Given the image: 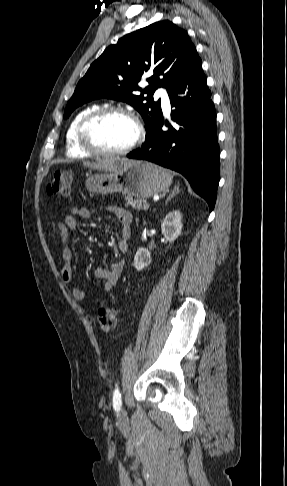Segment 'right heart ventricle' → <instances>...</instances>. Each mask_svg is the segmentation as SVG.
Instances as JSON below:
<instances>
[{"instance_id": "1", "label": "right heart ventricle", "mask_w": 287, "mask_h": 486, "mask_svg": "<svg viewBox=\"0 0 287 486\" xmlns=\"http://www.w3.org/2000/svg\"><path fill=\"white\" fill-rule=\"evenodd\" d=\"M97 108L98 106L92 105L80 110L70 122L65 137L66 155L69 158L80 159L89 156L78 144L77 130L82 119Z\"/></svg>"}]
</instances>
